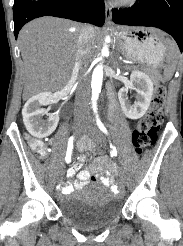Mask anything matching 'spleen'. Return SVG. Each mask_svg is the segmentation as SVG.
Returning a JSON list of instances; mask_svg holds the SVG:
<instances>
[{"label":"spleen","instance_id":"obj_1","mask_svg":"<svg viewBox=\"0 0 183 246\" xmlns=\"http://www.w3.org/2000/svg\"><path fill=\"white\" fill-rule=\"evenodd\" d=\"M166 44H167V51L169 56V64L164 70V78L166 80H169L171 79L175 71L176 61L178 57V48L176 44L169 39L166 41Z\"/></svg>","mask_w":183,"mask_h":246}]
</instances>
